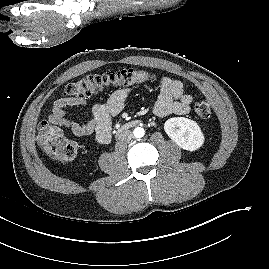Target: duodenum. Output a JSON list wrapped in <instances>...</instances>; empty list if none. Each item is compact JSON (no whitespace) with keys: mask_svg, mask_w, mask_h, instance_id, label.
<instances>
[{"mask_svg":"<svg viewBox=\"0 0 269 269\" xmlns=\"http://www.w3.org/2000/svg\"><path fill=\"white\" fill-rule=\"evenodd\" d=\"M139 123H140L139 120H130V121L124 123V124L121 126V128L119 129V132H122V131H125V130H127V129L136 127V126L139 125Z\"/></svg>","mask_w":269,"mask_h":269,"instance_id":"1","label":"duodenum"}]
</instances>
